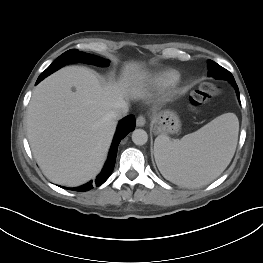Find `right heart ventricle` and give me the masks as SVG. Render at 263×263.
Returning <instances> with one entry per match:
<instances>
[{"label": "right heart ventricle", "instance_id": "e07e8e85", "mask_svg": "<svg viewBox=\"0 0 263 263\" xmlns=\"http://www.w3.org/2000/svg\"><path fill=\"white\" fill-rule=\"evenodd\" d=\"M180 79V73L174 69H165L151 77V83L157 87H170Z\"/></svg>", "mask_w": 263, "mask_h": 263}]
</instances>
